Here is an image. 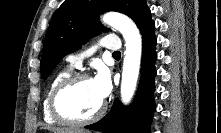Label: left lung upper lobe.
I'll return each instance as SVG.
<instances>
[{
    "mask_svg": "<svg viewBox=\"0 0 221 133\" xmlns=\"http://www.w3.org/2000/svg\"><path fill=\"white\" fill-rule=\"evenodd\" d=\"M117 11L132 18L140 31L151 19L146 0H66L54 13L41 57V77L46 79L60 60L106 30L99 15Z\"/></svg>",
    "mask_w": 221,
    "mask_h": 133,
    "instance_id": "1",
    "label": "left lung upper lobe"
}]
</instances>
